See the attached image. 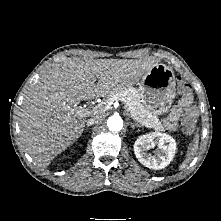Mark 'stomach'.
Listing matches in <instances>:
<instances>
[{"label": "stomach", "mask_w": 221, "mask_h": 221, "mask_svg": "<svg viewBox=\"0 0 221 221\" xmlns=\"http://www.w3.org/2000/svg\"><path fill=\"white\" fill-rule=\"evenodd\" d=\"M138 93L149 112L155 115L167 112L176 95L173 70L164 64H156L141 78Z\"/></svg>", "instance_id": "0dacf381"}]
</instances>
